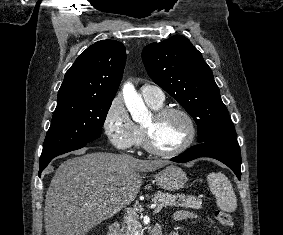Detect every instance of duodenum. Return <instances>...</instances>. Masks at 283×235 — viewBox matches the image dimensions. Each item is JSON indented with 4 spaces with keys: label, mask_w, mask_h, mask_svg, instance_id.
Here are the masks:
<instances>
[{
    "label": "duodenum",
    "mask_w": 283,
    "mask_h": 235,
    "mask_svg": "<svg viewBox=\"0 0 283 235\" xmlns=\"http://www.w3.org/2000/svg\"><path fill=\"white\" fill-rule=\"evenodd\" d=\"M118 233V225L117 224H113L108 231V235H117ZM150 235H162V229L161 226L157 225L155 226Z\"/></svg>",
    "instance_id": "1"
}]
</instances>
